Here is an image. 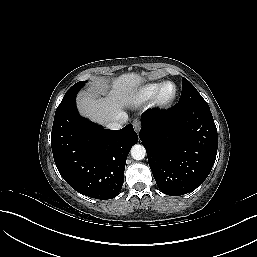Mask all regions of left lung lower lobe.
Masks as SVG:
<instances>
[{
	"mask_svg": "<svg viewBox=\"0 0 257 257\" xmlns=\"http://www.w3.org/2000/svg\"><path fill=\"white\" fill-rule=\"evenodd\" d=\"M139 137L158 188L170 196L189 193L209 175L217 154V129L209 107L148 110Z\"/></svg>",
	"mask_w": 257,
	"mask_h": 257,
	"instance_id": "0a47b994",
	"label": "left lung lower lobe"
}]
</instances>
